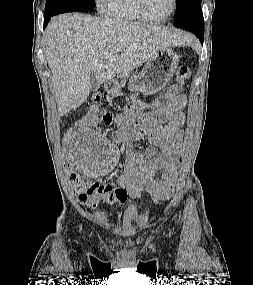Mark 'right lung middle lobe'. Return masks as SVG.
I'll use <instances>...</instances> for the list:
<instances>
[{
  "instance_id": "dd1d6c3e",
  "label": "right lung middle lobe",
  "mask_w": 253,
  "mask_h": 285,
  "mask_svg": "<svg viewBox=\"0 0 253 285\" xmlns=\"http://www.w3.org/2000/svg\"><path fill=\"white\" fill-rule=\"evenodd\" d=\"M95 7L94 0H46L44 15L88 11Z\"/></svg>"
}]
</instances>
